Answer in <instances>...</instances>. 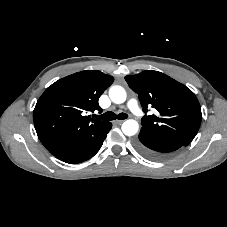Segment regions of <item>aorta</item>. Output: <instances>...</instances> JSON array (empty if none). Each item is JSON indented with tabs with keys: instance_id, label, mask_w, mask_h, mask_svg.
<instances>
[{
	"instance_id": "aorta-1",
	"label": "aorta",
	"mask_w": 227,
	"mask_h": 227,
	"mask_svg": "<svg viewBox=\"0 0 227 227\" xmlns=\"http://www.w3.org/2000/svg\"><path fill=\"white\" fill-rule=\"evenodd\" d=\"M109 97L113 103L122 104L126 101L127 95L123 87L115 85L110 88ZM121 129L126 136H133L138 132L139 124L134 119H128L122 124Z\"/></svg>"
}]
</instances>
